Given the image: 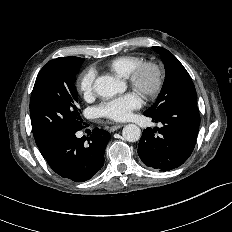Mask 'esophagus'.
<instances>
[{
	"instance_id": "esophagus-1",
	"label": "esophagus",
	"mask_w": 232,
	"mask_h": 232,
	"mask_svg": "<svg viewBox=\"0 0 232 232\" xmlns=\"http://www.w3.org/2000/svg\"><path fill=\"white\" fill-rule=\"evenodd\" d=\"M122 127H123L122 124H118V125L111 126L109 130H110V132H114Z\"/></svg>"
}]
</instances>
